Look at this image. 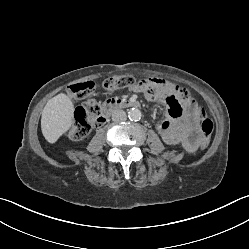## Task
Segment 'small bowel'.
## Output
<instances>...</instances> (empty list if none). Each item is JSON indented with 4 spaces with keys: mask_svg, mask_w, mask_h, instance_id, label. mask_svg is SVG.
Listing matches in <instances>:
<instances>
[{
    "mask_svg": "<svg viewBox=\"0 0 249 249\" xmlns=\"http://www.w3.org/2000/svg\"><path fill=\"white\" fill-rule=\"evenodd\" d=\"M130 89L144 93L148 99L161 100L167 104V118L158 127L165 143L169 145L181 143L190 153L199 147L200 108L186 89L159 77L141 80Z\"/></svg>",
    "mask_w": 249,
    "mask_h": 249,
    "instance_id": "c3829d8e",
    "label": "small bowel"
}]
</instances>
